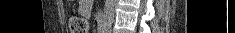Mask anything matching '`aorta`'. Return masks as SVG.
I'll return each instance as SVG.
<instances>
[{"label":"aorta","instance_id":"aorta-1","mask_svg":"<svg viewBox=\"0 0 235 33\" xmlns=\"http://www.w3.org/2000/svg\"><path fill=\"white\" fill-rule=\"evenodd\" d=\"M116 4L117 0H105L103 20H104V27L106 29H109L111 27L114 18Z\"/></svg>","mask_w":235,"mask_h":33}]
</instances>
